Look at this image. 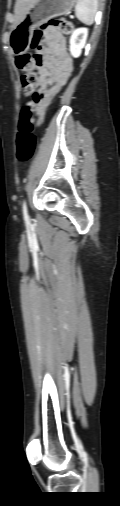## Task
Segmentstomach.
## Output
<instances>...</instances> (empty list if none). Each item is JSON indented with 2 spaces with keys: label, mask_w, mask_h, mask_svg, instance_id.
Segmentation results:
<instances>
[{
  "label": "stomach",
  "mask_w": 120,
  "mask_h": 506,
  "mask_svg": "<svg viewBox=\"0 0 120 506\" xmlns=\"http://www.w3.org/2000/svg\"><path fill=\"white\" fill-rule=\"evenodd\" d=\"M75 3L76 0H38L10 32L8 45L12 54L18 56L27 52L34 28L49 18L67 14Z\"/></svg>",
  "instance_id": "stomach-1"
}]
</instances>
